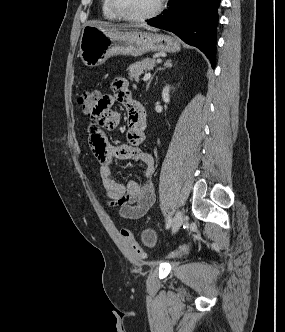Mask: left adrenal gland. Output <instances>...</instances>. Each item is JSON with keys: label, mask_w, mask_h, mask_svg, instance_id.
<instances>
[{"label": "left adrenal gland", "mask_w": 285, "mask_h": 332, "mask_svg": "<svg viewBox=\"0 0 285 332\" xmlns=\"http://www.w3.org/2000/svg\"><path fill=\"white\" fill-rule=\"evenodd\" d=\"M168 67H172V60H170V59H167V60L164 62L163 67L158 68V69L155 71V73L152 75V77L150 78L149 82L147 83V86H146L147 90H148V88L150 87L151 81H152V79L154 78L155 74H156L158 71H160V70H162V69H165V68H168Z\"/></svg>", "instance_id": "1"}]
</instances>
